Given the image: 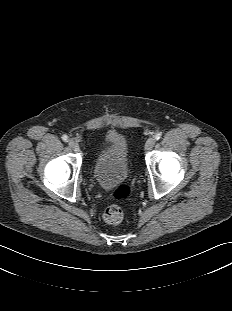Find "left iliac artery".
<instances>
[{
	"mask_svg": "<svg viewBox=\"0 0 232 311\" xmlns=\"http://www.w3.org/2000/svg\"><path fill=\"white\" fill-rule=\"evenodd\" d=\"M161 136H162L161 132L156 133L154 136L155 140H159L161 138Z\"/></svg>",
	"mask_w": 232,
	"mask_h": 311,
	"instance_id": "44dca946",
	"label": "left iliac artery"
}]
</instances>
